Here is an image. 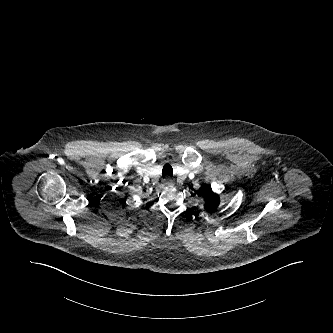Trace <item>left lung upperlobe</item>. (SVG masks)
Returning a JSON list of instances; mask_svg holds the SVG:
<instances>
[{
    "label": "left lung upper lobe",
    "mask_w": 333,
    "mask_h": 333,
    "mask_svg": "<svg viewBox=\"0 0 333 333\" xmlns=\"http://www.w3.org/2000/svg\"><path fill=\"white\" fill-rule=\"evenodd\" d=\"M203 196L205 197L204 208L208 212H213L220 204V198L218 194L213 193L211 186L203 187Z\"/></svg>",
    "instance_id": "1"
}]
</instances>
